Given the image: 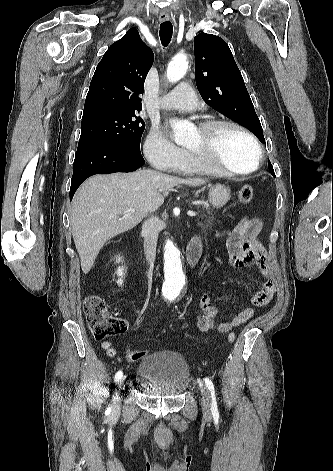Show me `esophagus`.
Listing matches in <instances>:
<instances>
[{
    "label": "esophagus",
    "mask_w": 333,
    "mask_h": 471,
    "mask_svg": "<svg viewBox=\"0 0 333 471\" xmlns=\"http://www.w3.org/2000/svg\"><path fill=\"white\" fill-rule=\"evenodd\" d=\"M169 19H170L169 16H168V15H165V14H162V15L159 16V20H160L161 22H166V21H168Z\"/></svg>",
    "instance_id": "1"
}]
</instances>
